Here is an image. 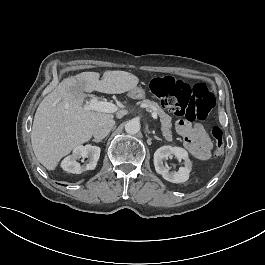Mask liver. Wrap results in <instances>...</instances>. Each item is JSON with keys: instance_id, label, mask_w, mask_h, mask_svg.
Here are the masks:
<instances>
[{"instance_id": "1", "label": "liver", "mask_w": 265, "mask_h": 265, "mask_svg": "<svg viewBox=\"0 0 265 265\" xmlns=\"http://www.w3.org/2000/svg\"><path fill=\"white\" fill-rule=\"evenodd\" d=\"M82 72L64 79L39 104L31 132V143L37 160L54 170L60 159L76 146L87 142L94 127L112 114L87 111L83 107L84 91L121 94L135 88L138 77L125 71Z\"/></svg>"}]
</instances>
